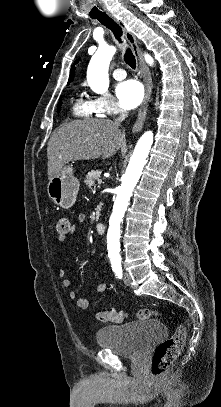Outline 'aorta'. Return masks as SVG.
I'll return each instance as SVG.
<instances>
[{"mask_svg":"<svg viewBox=\"0 0 221 407\" xmlns=\"http://www.w3.org/2000/svg\"><path fill=\"white\" fill-rule=\"evenodd\" d=\"M115 52V47L103 45L90 60L87 70V81L90 88L96 93L103 94L108 90V69ZM145 60L148 64H153V58L150 55L146 54ZM152 144L153 133L147 131L137 142L126 172L122 177V183L117 189V196L109 219V229L107 232L108 256L112 262L121 260L120 224L129 205L134 187L141 176Z\"/></svg>","mask_w":221,"mask_h":407,"instance_id":"1","label":"aorta"}]
</instances>
